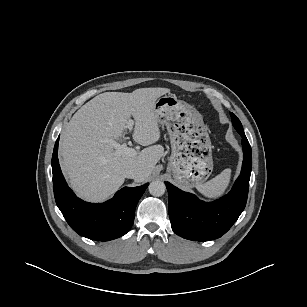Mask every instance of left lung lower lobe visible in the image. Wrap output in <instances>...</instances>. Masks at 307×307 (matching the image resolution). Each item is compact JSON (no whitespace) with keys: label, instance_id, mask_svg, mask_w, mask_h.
<instances>
[{"label":"left lung lower lobe","instance_id":"1","mask_svg":"<svg viewBox=\"0 0 307 307\" xmlns=\"http://www.w3.org/2000/svg\"><path fill=\"white\" fill-rule=\"evenodd\" d=\"M241 136L244 153L242 170L226 196L214 202H203L195 195L165 182L171 227L179 236L195 241L219 238L232 227L244 210L252 169V150L246 136Z\"/></svg>","mask_w":307,"mask_h":307}]
</instances>
